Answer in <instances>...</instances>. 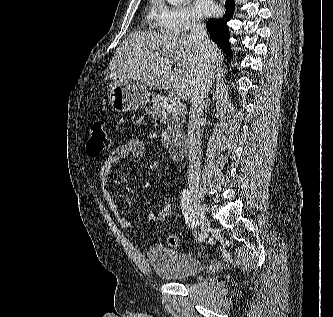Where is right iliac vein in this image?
I'll list each match as a JSON object with an SVG mask.
<instances>
[{"mask_svg":"<svg viewBox=\"0 0 333 317\" xmlns=\"http://www.w3.org/2000/svg\"><path fill=\"white\" fill-rule=\"evenodd\" d=\"M190 194H191V201L193 202L194 205V211L198 218V224L201 230V234L205 239L208 237L211 230L210 223L206 217V210L201 203L199 192L197 190H191Z\"/></svg>","mask_w":333,"mask_h":317,"instance_id":"63e3f726","label":"right iliac vein"}]
</instances>
